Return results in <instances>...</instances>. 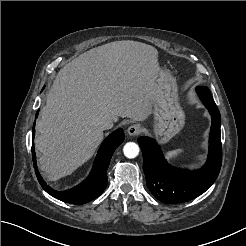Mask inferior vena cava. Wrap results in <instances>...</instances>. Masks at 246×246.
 I'll return each instance as SVG.
<instances>
[{
    "instance_id": "602c4592",
    "label": "inferior vena cava",
    "mask_w": 246,
    "mask_h": 246,
    "mask_svg": "<svg viewBox=\"0 0 246 246\" xmlns=\"http://www.w3.org/2000/svg\"><path fill=\"white\" fill-rule=\"evenodd\" d=\"M100 125L103 130L111 129L114 125V121L112 118H105L101 120Z\"/></svg>"
}]
</instances>
